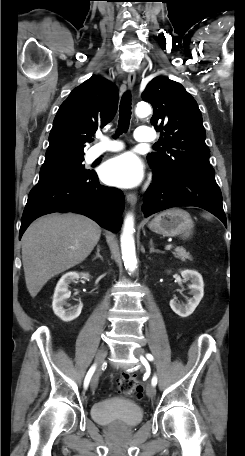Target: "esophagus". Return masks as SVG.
<instances>
[{
  "label": "esophagus",
  "mask_w": 245,
  "mask_h": 456,
  "mask_svg": "<svg viewBox=\"0 0 245 456\" xmlns=\"http://www.w3.org/2000/svg\"><path fill=\"white\" fill-rule=\"evenodd\" d=\"M136 81V74L134 72H130L127 77V85L130 89L133 88ZM126 199L131 206H134L137 202V196L135 193H127Z\"/></svg>",
  "instance_id": "34e87169"
}]
</instances>
